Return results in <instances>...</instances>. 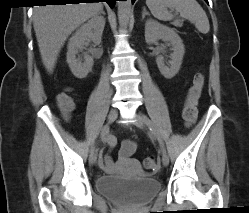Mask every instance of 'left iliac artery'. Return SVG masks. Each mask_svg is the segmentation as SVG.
I'll use <instances>...</instances> for the list:
<instances>
[{"label":"left iliac artery","instance_id":"left-iliac-artery-1","mask_svg":"<svg viewBox=\"0 0 249 213\" xmlns=\"http://www.w3.org/2000/svg\"><path fill=\"white\" fill-rule=\"evenodd\" d=\"M142 118L144 119L145 123L147 124V126L149 127L150 132L152 133V135L155 137V139H157V141L159 142L161 149L163 150V152H165V146L163 143V140L161 139V137L157 134L156 130L154 129L150 119L145 116L142 115Z\"/></svg>","mask_w":249,"mask_h":213}]
</instances>
